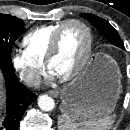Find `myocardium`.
Segmentation results:
<instances>
[{"mask_svg": "<svg viewBox=\"0 0 130 130\" xmlns=\"http://www.w3.org/2000/svg\"><path fill=\"white\" fill-rule=\"evenodd\" d=\"M71 24H77L85 30V32L87 34V46H86L84 55H83L81 61L79 62V64L77 65V67L68 75L59 77V79L62 82L71 81L80 75V73L84 70L85 66L87 65V63L90 59L91 52H92V46H93L92 30L85 22L78 20V19L66 20L56 30V32L54 33V35L52 37V40H51V43H50V46L48 49V53H47L45 61H44L46 68L50 71V64H51L52 60L56 57V55L59 51L60 38H61L62 32L68 25H71Z\"/></svg>", "mask_w": 130, "mask_h": 130, "instance_id": "myocardium-1", "label": "myocardium"}]
</instances>
